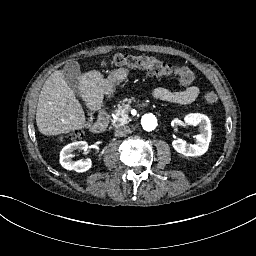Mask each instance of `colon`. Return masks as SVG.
<instances>
[{"label":"colon","instance_id":"colon-1","mask_svg":"<svg viewBox=\"0 0 256 256\" xmlns=\"http://www.w3.org/2000/svg\"><path fill=\"white\" fill-rule=\"evenodd\" d=\"M111 64L118 69L145 70L153 77H165L175 73L184 85H189L196 80L193 70L187 67H174L152 56L119 54L113 58ZM203 100L214 104L217 102V95L212 91H207L203 94ZM81 135L79 130L70 133L72 139H79Z\"/></svg>","mask_w":256,"mask_h":256}]
</instances>
